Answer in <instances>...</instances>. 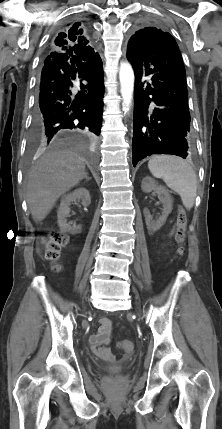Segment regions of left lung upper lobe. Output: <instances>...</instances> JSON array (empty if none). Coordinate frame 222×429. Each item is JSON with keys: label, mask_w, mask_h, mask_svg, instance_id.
Listing matches in <instances>:
<instances>
[{"label": "left lung upper lobe", "mask_w": 222, "mask_h": 429, "mask_svg": "<svg viewBox=\"0 0 222 429\" xmlns=\"http://www.w3.org/2000/svg\"><path fill=\"white\" fill-rule=\"evenodd\" d=\"M166 33L167 32H164L161 29L155 27L142 28L136 31L134 35H132L128 47L136 44L145 45V42L154 43L156 41H159L160 39H163V36Z\"/></svg>", "instance_id": "left-lung-upper-lobe-1"}]
</instances>
